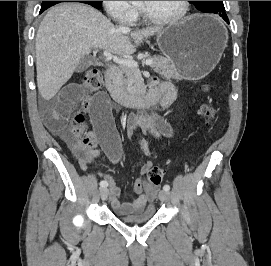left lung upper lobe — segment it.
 Wrapping results in <instances>:
<instances>
[{"label":"left lung upper lobe","instance_id":"obj_1","mask_svg":"<svg viewBox=\"0 0 271 266\" xmlns=\"http://www.w3.org/2000/svg\"><path fill=\"white\" fill-rule=\"evenodd\" d=\"M194 4V6L205 13L214 14H226L223 1H189Z\"/></svg>","mask_w":271,"mask_h":266}]
</instances>
